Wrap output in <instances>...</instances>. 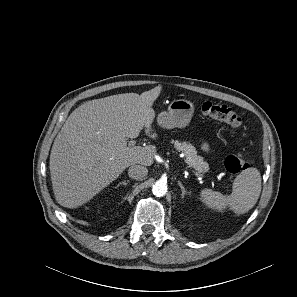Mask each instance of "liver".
Returning a JSON list of instances; mask_svg holds the SVG:
<instances>
[{
    "label": "liver",
    "instance_id": "1",
    "mask_svg": "<svg viewBox=\"0 0 297 297\" xmlns=\"http://www.w3.org/2000/svg\"><path fill=\"white\" fill-rule=\"evenodd\" d=\"M162 90L157 86L142 94L124 93L88 101L76 108L54 140L50 173L56 201L76 208L88 202L127 167L151 166L156 147H128L142 129L156 139L152 129L153 103Z\"/></svg>",
    "mask_w": 297,
    "mask_h": 297
}]
</instances>
